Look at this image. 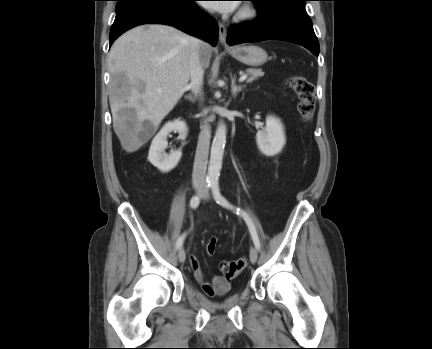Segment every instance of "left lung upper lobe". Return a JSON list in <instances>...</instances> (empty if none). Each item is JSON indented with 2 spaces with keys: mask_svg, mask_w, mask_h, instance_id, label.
<instances>
[{
  "mask_svg": "<svg viewBox=\"0 0 432 349\" xmlns=\"http://www.w3.org/2000/svg\"><path fill=\"white\" fill-rule=\"evenodd\" d=\"M253 1L254 3H263L266 1H270V0H250ZM281 1H285V2H290L296 5H300V6H304V1L306 0H281Z\"/></svg>",
  "mask_w": 432,
  "mask_h": 349,
  "instance_id": "obj_1",
  "label": "left lung upper lobe"
}]
</instances>
